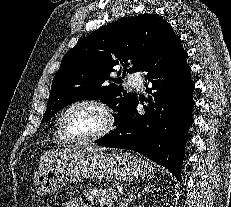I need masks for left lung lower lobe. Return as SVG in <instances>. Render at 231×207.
<instances>
[{
	"mask_svg": "<svg viewBox=\"0 0 231 207\" xmlns=\"http://www.w3.org/2000/svg\"><path fill=\"white\" fill-rule=\"evenodd\" d=\"M186 57L187 52L178 38L164 53L152 59L143 69L150 86L147 92L152 95L146 100L149 104L144 106L145 113L136 109L137 98L122 116L117 129L98 139V145L139 152L168 168L179 179L184 142L188 139L195 105L194 84ZM160 74L167 83L156 81Z\"/></svg>",
	"mask_w": 231,
	"mask_h": 207,
	"instance_id": "0a47b994",
	"label": "left lung lower lobe"
}]
</instances>
